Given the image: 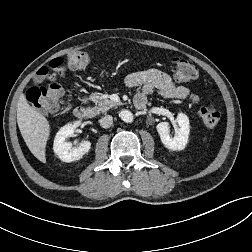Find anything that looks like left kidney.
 I'll return each instance as SVG.
<instances>
[{
    "label": "left kidney",
    "instance_id": "1",
    "mask_svg": "<svg viewBox=\"0 0 252 252\" xmlns=\"http://www.w3.org/2000/svg\"><path fill=\"white\" fill-rule=\"evenodd\" d=\"M179 129L174 137L169 133L170 125L168 122H160L157 126V132L164 146L171 150H183L188 142L190 126L187 115L179 113L177 116Z\"/></svg>",
    "mask_w": 252,
    "mask_h": 252
}]
</instances>
